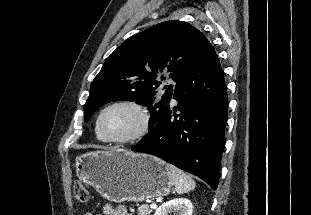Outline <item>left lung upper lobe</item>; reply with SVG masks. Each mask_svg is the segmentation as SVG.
<instances>
[{"instance_id":"obj_1","label":"left lung upper lobe","mask_w":311,"mask_h":215,"mask_svg":"<svg viewBox=\"0 0 311 215\" xmlns=\"http://www.w3.org/2000/svg\"><path fill=\"white\" fill-rule=\"evenodd\" d=\"M205 35L187 22L170 20L124 41L105 61L93 80L84 105L85 121L100 106L112 101H136L150 112L149 128L169 102L177 81L198 55ZM162 97L158 87L166 80Z\"/></svg>"}]
</instances>
